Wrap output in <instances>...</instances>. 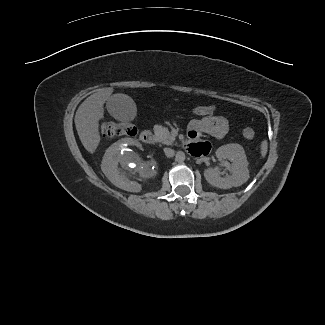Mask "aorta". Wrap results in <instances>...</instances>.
Masks as SVG:
<instances>
[{
	"label": "aorta",
	"instance_id": "obj_1",
	"mask_svg": "<svg viewBox=\"0 0 325 325\" xmlns=\"http://www.w3.org/2000/svg\"><path fill=\"white\" fill-rule=\"evenodd\" d=\"M175 160H176L178 163H182V162H184V160H185V153L182 152V151H178V152L176 153Z\"/></svg>",
	"mask_w": 325,
	"mask_h": 325
}]
</instances>
